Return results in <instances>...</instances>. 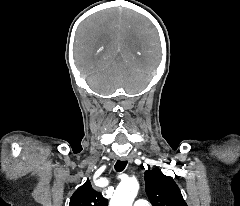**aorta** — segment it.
Listing matches in <instances>:
<instances>
[{"label":"aorta","instance_id":"aorta-1","mask_svg":"<svg viewBox=\"0 0 240 206\" xmlns=\"http://www.w3.org/2000/svg\"><path fill=\"white\" fill-rule=\"evenodd\" d=\"M138 190L139 183L136 179L122 181L116 188L109 206H132Z\"/></svg>","mask_w":240,"mask_h":206}]
</instances>
